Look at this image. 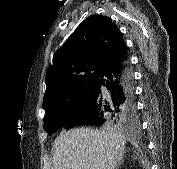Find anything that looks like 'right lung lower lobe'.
<instances>
[{"mask_svg":"<svg viewBox=\"0 0 177 169\" xmlns=\"http://www.w3.org/2000/svg\"><path fill=\"white\" fill-rule=\"evenodd\" d=\"M96 94L90 107L65 125H108L135 119L134 78L128 55L105 68L94 81ZM103 86V89L100 88Z\"/></svg>","mask_w":177,"mask_h":169,"instance_id":"right-lung-lower-lobe-1","label":"right lung lower lobe"}]
</instances>
